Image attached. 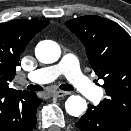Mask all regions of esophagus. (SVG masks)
I'll return each instance as SVG.
<instances>
[{
	"instance_id": "1",
	"label": "esophagus",
	"mask_w": 131,
	"mask_h": 131,
	"mask_svg": "<svg viewBox=\"0 0 131 131\" xmlns=\"http://www.w3.org/2000/svg\"><path fill=\"white\" fill-rule=\"evenodd\" d=\"M69 94H70V92H66V91H54L52 93V96H54V97H64V96L69 95Z\"/></svg>"
}]
</instances>
